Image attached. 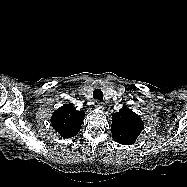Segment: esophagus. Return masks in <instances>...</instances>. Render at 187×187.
Masks as SVG:
<instances>
[{
    "mask_svg": "<svg viewBox=\"0 0 187 187\" xmlns=\"http://www.w3.org/2000/svg\"><path fill=\"white\" fill-rule=\"evenodd\" d=\"M96 107H97L98 109H104V108H105V104L102 103V102H100V101H98V102L96 103Z\"/></svg>",
    "mask_w": 187,
    "mask_h": 187,
    "instance_id": "esophagus-1",
    "label": "esophagus"
}]
</instances>
